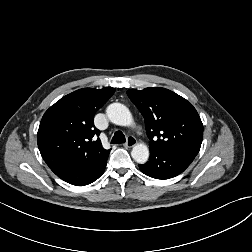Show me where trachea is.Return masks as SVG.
Segmentation results:
<instances>
[{"label": "trachea", "mask_w": 252, "mask_h": 252, "mask_svg": "<svg viewBox=\"0 0 252 252\" xmlns=\"http://www.w3.org/2000/svg\"><path fill=\"white\" fill-rule=\"evenodd\" d=\"M125 142H126V139H125L124 134L121 131H116L112 140H111V143L112 144H121V143H125Z\"/></svg>", "instance_id": "obj_1"}]
</instances>
